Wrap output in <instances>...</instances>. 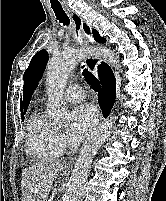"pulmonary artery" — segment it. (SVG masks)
Returning <instances> with one entry per match:
<instances>
[{"label": "pulmonary artery", "instance_id": "1", "mask_svg": "<svg viewBox=\"0 0 166 201\" xmlns=\"http://www.w3.org/2000/svg\"><path fill=\"white\" fill-rule=\"evenodd\" d=\"M64 97L68 102H80L85 98V91L80 85L74 84L66 89Z\"/></svg>", "mask_w": 166, "mask_h": 201}]
</instances>
